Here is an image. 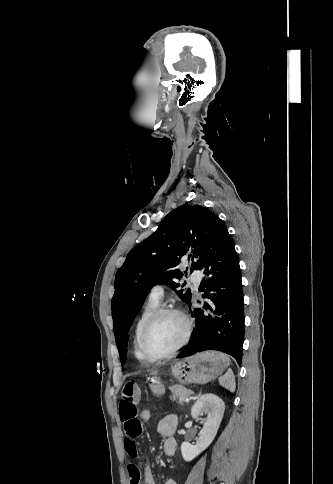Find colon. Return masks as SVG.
<instances>
[{
  "label": "colon",
  "instance_id": "1",
  "mask_svg": "<svg viewBox=\"0 0 333 484\" xmlns=\"http://www.w3.org/2000/svg\"><path fill=\"white\" fill-rule=\"evenodd\" d=\"M151 417H152V414L150 412V410L148 409H143L141 412H140V417H139V420L142 424H148L150 421H151Z\"/></svg>",
  "mask_w": 333,
  "mask_h": 484
}]
</instances>
